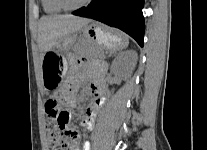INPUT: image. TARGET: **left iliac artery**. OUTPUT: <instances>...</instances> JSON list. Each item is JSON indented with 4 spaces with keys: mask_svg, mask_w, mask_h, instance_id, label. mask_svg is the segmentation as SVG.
<instances>
[{
    "mask_svg": "<svg viewBox=\"0 0 207 150\" xmlns=\"http://www.w3.org/2000/svg\"><path fill=\"white\" fill-rule=\"evenodd\" d=\"M84 150H90V143L88 141L84 144Z\"/></svg>",
    "mask_w": 207,
    "mask_h": 150,
    "instance_id": "obj_1",
    "label": "left iliac artery"
}]
</instances>
